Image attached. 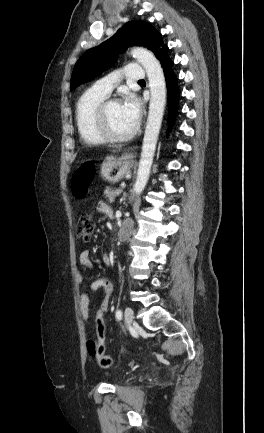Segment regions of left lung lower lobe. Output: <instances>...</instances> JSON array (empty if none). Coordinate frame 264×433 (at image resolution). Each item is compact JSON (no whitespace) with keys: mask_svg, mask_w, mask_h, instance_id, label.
<instances>
[{"mask_svg":"<svg viewBox=\"0 0 264 433\" xmlns=\"http://www.w3.org/2000/svg\"><path fill=\"white\" fill-rule=\"evenodd\" d=\"M161 66L167 83L168 92V133L174 124L175 115L178 109L179 90L177 86V79L172 71L173 62L167 54L163 55L160 59Z\"/></svg>","mask_w":264,"mask_h":433,"instance_id":"1","label":"left lung lower lobe"}]
</instances>
